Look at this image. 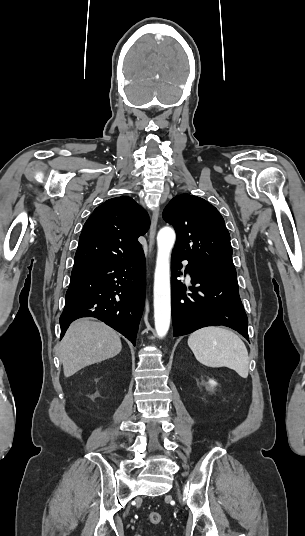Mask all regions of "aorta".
<instances>
[{
	"label": "aorta",
	"instance_id": "762f6f07",
	"mask_svg": "<svg viewBox=\"0 0 305 536\" xmlns=\"http://www.w3.org/2000/svg\"><path fill=\"white\" fill-rule=\"evenodd\" d=\"M176 239L175 231L163 227L157 235V258L154 274V320L159 337L166 336L171 321L170 255Z\"/></svg>",
	"mask_w": 305,
	"mask_h": 536
}]
</instances>
